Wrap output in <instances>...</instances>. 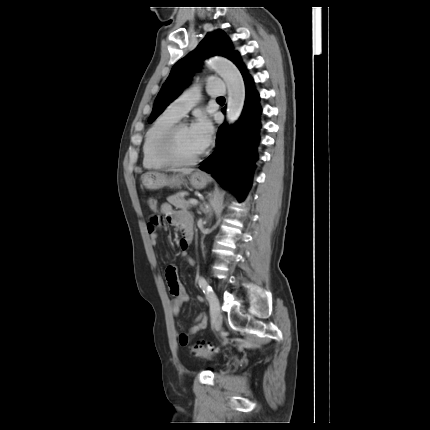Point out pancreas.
<instances>
[{
    "label": "pancreas",
    "mask_w": 430,
    "mask_h": 430,
    "mask_svg": "<svg viewBox=\"0 0 430 430\" xmlns=\"http://www.w3.org/2000/svg\"><path fill=\"white\" fill-rule=\"evenodd\" d=\"M188 195L187 191H180L167 198V201L174 205L176 208L187 209L190 204L184 199V196Z\"/></svg>",
    "instance_id": "pancreas-1"
}]
</instances>
